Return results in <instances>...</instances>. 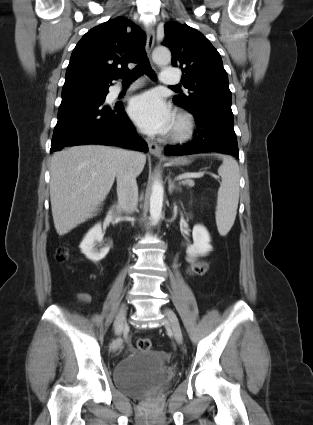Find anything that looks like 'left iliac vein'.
I'll list each match as a JSON object with an SVG mask.
<instances>
[{
  "label": "left iliac vein",
  "mask_w": 313,
  "mask_h": 425,
  "mask_svg": "<svg viewBox=\"0 0 313 425\" xmlns=\"http://www.w3.org/2000/svg\"><path fill=\"white\" fill-rule=\"evenodd\" d=\"M164 314H165L167 323L170 325L173 331L175 339L177 340L179 344H182L183 335H182L181 327L176 314L171 309H165Z\"/></svg>",
  "instance_id": "4c4485c4"
}]
</instances>
